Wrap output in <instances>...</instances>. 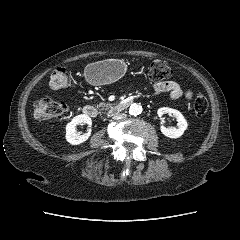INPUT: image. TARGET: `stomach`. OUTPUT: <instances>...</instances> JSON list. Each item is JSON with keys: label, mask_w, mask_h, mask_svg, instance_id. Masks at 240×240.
Wrapping results in <instances>:
<instances>
[{"label": "stomach", "mask_w": 240, "mask_h": 240, "mask_svg": "<svg viewBox=\"0 0 240 240\" xmlns=\"http://www.w3.org/2000/svg\"><path fill=\"white\" fill-rule=\"evenodd\" d=\"M125 73V64L119 60L106 59L90 63L85 67L84 75L92 85L111 84Z\"/></svg>", "instance_id": "1"}]
</instances>
